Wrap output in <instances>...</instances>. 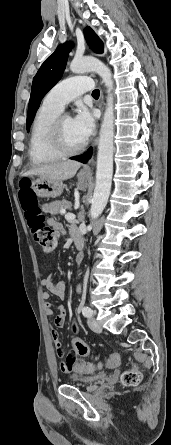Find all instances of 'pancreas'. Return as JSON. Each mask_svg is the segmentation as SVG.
I'll return each mask as SVG.
<instances>
[{"label": "pancreas", "mask_w": 171, "mask_h": 445, "mask_svg": "<svg viewBox=\"0 0 171 445\" xmlns=\"http://www.w3.org/2000/svg\"><path fill=\"white\" fill-rule=\"evenodd\" d=\"M51 206H52L53 213L59 214V213H61V209H69V208H71L72 204H71V202H69L67 200H62V201L52 202Z\"/></svg>", "instance_id": "cf45deb5"}]
</instances>
